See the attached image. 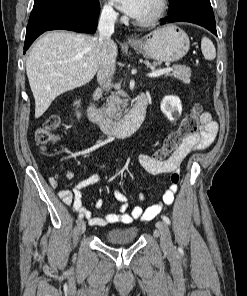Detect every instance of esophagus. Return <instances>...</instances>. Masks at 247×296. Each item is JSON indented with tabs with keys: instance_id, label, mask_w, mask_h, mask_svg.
Listing matches in <instances>:
<instances>
[{
	"instance_id": "34e87169",
	"label": "esophagus",
	"mask_w": 247,
	"mask_h": 296,
	"mask_svg": "<svg viewBox=\"0 0 247 296\" xmlns=\"http://www.w3.org/2000/svg\"><path fill=\"white\" fill-rule=\"evenodd\" d=\"M127 41H128V43L132 44V43H135L137 41V39L133 36H129L127 38Z\"/></svg>"
}]
</instances>
